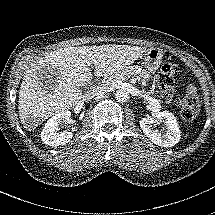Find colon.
<instances>
[{
	"instance_id": "1",
	"label": "colon",
	"mask_w": 215,
	"mask_h": 215,
	"mask_svg": "<svg viewBox=\"0 0 215 215\" xmlns=\"http://www.w3.org/2000/svg\"><path fill=\"white\" fill-rule=\"evenodd\" d=\"M175 65L172 61H165L157 76L158 88L165 99L174 102L180 114L186 118H196L199 107L197 96L199 89L195 85H190L186 89L187 96L175 91Z\"/></svg>"
}]
</instances>
